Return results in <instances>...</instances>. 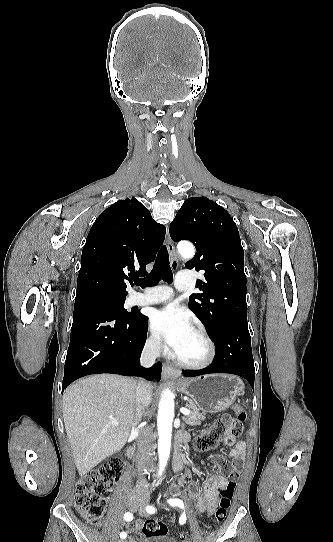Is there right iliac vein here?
<instances>
[{"label":"right iliac vein","mask_w":333,"mask_h":542,"mask_svg":"<svg viewBox=\"0 0 333 542\" xmlns=\"http://www.w3.org/2000/svg\"><path fill=\"white\" fill-rule=\"evenodd\" d=\"M130 502L128 503V508L131 510V511H135L138 509L139 507V501H140V496L138 493H134L132 494L130 497ZM129 500V499H128ZM122 542H128L127 540H124Z\"/></svg>","instance_id":"right-iliac-vein-1"}]
</instances>
